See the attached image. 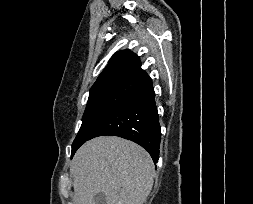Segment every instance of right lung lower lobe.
<instances>
[{
    "mask_svg": "<svg viewBox=\"0 0 253 204\" xmlns=\"http://www.w3.org/2000/svg\"><path fill=\"white\" fill-rule=\"evenodd\" d=\"M103 135L131 140L145 148L154 163L158 161L161 131L155 93L149 76L118 105L90 139Z\"/></svg>",
    "mask_w": 253,
    "mask_h": 204,
    "instance_id": "1",
    "label": "right lung lower lobe"
}]
</instances>
